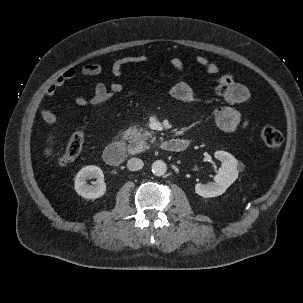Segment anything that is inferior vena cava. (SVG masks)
Returning <instances> with one entry per match:
<instances>
[{
	"mask_svg": "<svg viewBox=\"0 0 303 303\" xmlns=\"http://www.w3.org/2000/svg\"><path fill=\"white\" fill-rule=\"evenodd\" d=\"M143 165H144V163L141 159L131 158L130 160H128L127 168L130 171H138L143 168Z\"/></svg>",
	"mask_w": 303,
	"mask_h": 303,
	"instance_id": "602c4592",
	"label": "inferior vena cava"
}]
</instances>
